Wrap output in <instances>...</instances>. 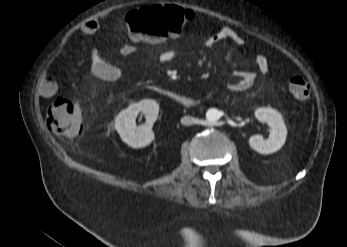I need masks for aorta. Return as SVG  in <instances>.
<instances>
[{
	"label": "aorta",
	"instance_id": "762f6f07",
	"mask_svg": "<svg viewBox=\"0 0 347 247\" xmlns=\"http://www.w3.org/2000/svg\"><path fill=\"white\" fill-rule=\"evenodd\" d=\"M220 118V112L216 109H209L206 113V119L209 123H215Z\"/></svg>",
	"mask_w": 347,
	"mask_h": 247
}]
</instances>
